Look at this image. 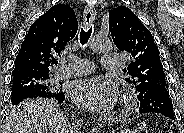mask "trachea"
Instances as JSON below:
<instances>
[{
	"instance_id": "3493384b",
	"label": "trachea",
	"mask_w": 184,
	"mask_h": 133,
	"mask_svg": "<svg viewBox=\"0 0 184 133\" xmlns=\"http://www.w3.org/2000/svg\"><path fill=\"white\" fill-rule=\"evenodd\" d=\"M91 33H92V26L88 30H84L83 28L81 29L79 39L82 46H84L88 42Z\"/></svg>"
}]
</instances>
